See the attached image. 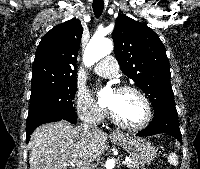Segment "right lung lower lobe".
Masks as SVG:
<instances>
[{"mask_svg":"<svg viewBox=\"0 0 200 169\" xmlns=\"http://www.w3.org/2000/svg\"><path fill=\"white\" fill-rule=\"evenodd\" d=\"M60 120H67L75 124L77 121V114L75 111L61 114V113H40L28 116L26 123V142L29 141L32 132L40 125L55 122Z\"/></svg>","mask_w":200,"mask_h":169,"instance_id":"right-lung-lower-lobe-1","label":"right lung lower lobe"}]
</instances>
